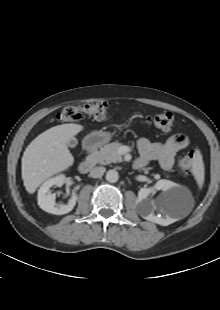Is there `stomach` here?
Instances as JSON below:
<instances>
[{
	"instance_id": "stomach-1",
	"label": "stomach",
	"mask_w": 220,
	"mask_h": 310,
	"mask_svg": "<svg viewBox=\"0 0 220 310\" xmlns=\"http://www.w3.org/2000/svg\"><path fill=\"white\" fill-rule=\"evenodd\" d=\"M111 139V136L107 132L95 131L90 133L84 140L87 147H98L107 143Z\"/></svg>"
}]
</instances>
